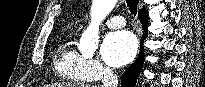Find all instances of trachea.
<instances>
[{"instance_id": "obj_1", "label": "trachea", "mask_w": 205, "mask_h": 87, "mask_svg": "<svg viewBox=\"0 0 205 87\" xmlns=\"http://www.w3.org/2000/svg\"><path fill=\"white\" fill-rule=\"evenodd\" d=\"M127 6L131 14L136 15L137 13V0H126Z\"/></svg>"}]
</instances>
